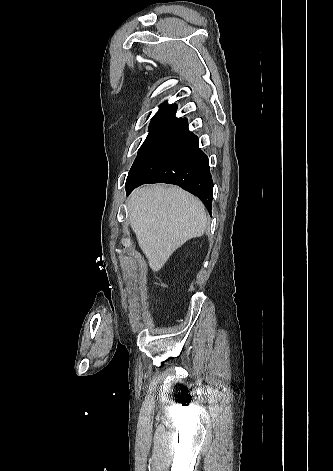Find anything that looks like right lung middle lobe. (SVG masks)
<instances>
[{"label":"right lung middle lobe","mask_w":333,"mask_h":471,"mask_svg":"<svg viewBox=\"0 0 333 471\" xmlns=\"http://www.w3.org/2000/svg\"><path fill=\"white\" fill-rule=\"evenodd\" d=\"M175 123L176 121L173 120L153 118L149 126L150 133L142 144V146L140 147L137 158L160 134H162L168 128L173 126Z\"/></svg>","instance_id":"1"}]
</instances>
